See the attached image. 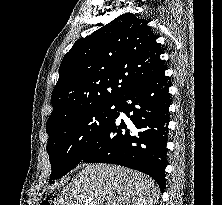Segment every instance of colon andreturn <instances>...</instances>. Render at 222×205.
Segmentation results:
<instances>
[{"label": "colon", "instance_id": "obj_1", "mask_svg": "<svg viewBox=\"0 0 222 205\" xmlns=\"http://www.w3.org/2000/svg\"><path fill=\"white\" fill-rule=\"evenodd\" d=\"M41 205H50L49 202H43Z\"/></svg>", "mask_w": 222, "mask_h": 205}]
</instances>
